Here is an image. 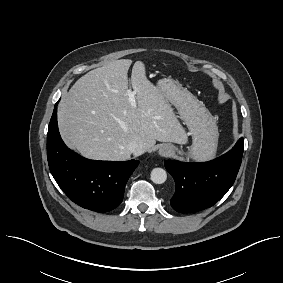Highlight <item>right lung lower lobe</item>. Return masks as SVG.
<instances>
[{"label": "right lung lower lobe", "instance_id": "right-lung-lower-lobe-1", "mask_svg": "<svg viewBox=\"0 0 283 283\" xmlns=\"http://www.w3.org/2000/svg\"><path fill=\"white\" fill-rule=\"evenodd\" d=\"M57 104L47 134L51 174L64 193L79 206L97 212L113 210L122 202L127 180L139 161L88 160L69 150L59 134Z\"/></svg>", "mask_w": 283, "mask_h": 283}]
</instances>
